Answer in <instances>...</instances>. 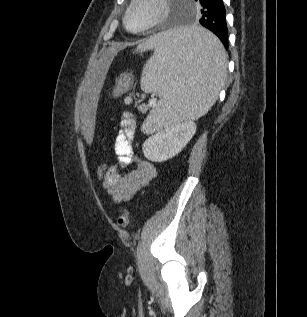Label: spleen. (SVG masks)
<instances>
[{
  "mask_svg": "<svg viewBox=\"0 0 307 317\" xmlns=\"http://www.w3.org/2000/svg\"><path fill=\"white\" fill-rule=\"evenodd\" d=\"M154 50L143 68L141 88L160 101L143 124L147 134L197 119L214 105L227 75V55L206 26H175L149 33L137 51Z\"/></svg>",
  "mask_w": 307,
  "mask_h": 317,
  "instance_id": "3e777b00",
  "label": "spleen"
}]
</instances>
